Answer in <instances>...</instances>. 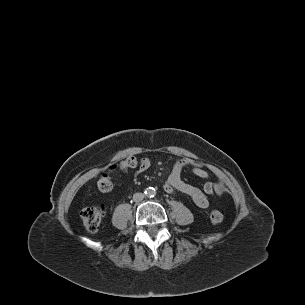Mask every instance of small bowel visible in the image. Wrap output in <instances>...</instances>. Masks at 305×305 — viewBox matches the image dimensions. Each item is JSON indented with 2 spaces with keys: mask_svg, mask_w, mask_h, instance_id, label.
<instances>
[{
  "mask_svg": "<svg viewBox=\"0 0 305 305\" xmlns=\"http://www.w3.org/2000/svg\"><path fill=\"white\" fill-rule=\"evenodd\" d=\"M173 154L175 156V162L163 185V188L167 193H173L174 191L185 193L190 196L194 203L200 208L208 207V195L215 193L218 196H222L224 194V188L219 183L206 182L203 189H199L198 187L184 181L182 178V171L186 166H190L192 172L200 178L208 177V173L204 170L201 164L182 158L177 153ZM150 166L151 161L148 158L140 159L138 173L146 171Z\"/></svg>",
  "mask_w": 305,
  "mask_h": 305,
  "instance_id": "1",
  "label": "small bowel"
}]
</instances>
